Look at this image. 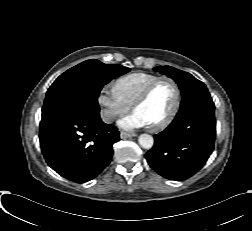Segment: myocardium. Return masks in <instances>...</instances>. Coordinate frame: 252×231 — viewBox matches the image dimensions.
<instances>
[{
    "label": "myocardium",
    "mask_w": 252,
    "mask_h": 231,
    "mask_svg": "<svg viewBox=\"0 0 252 231\" xmlns=\"http://www.w3.org/2000/svg\"><path fill=\"white\" fill-rule=\"evenodd\" d=\"M161 81H169L173 85L175 90V100L171 111L162 121L153 126H148L149 130L152 132H157L166 128L176 117L182 101V92L178 82L174 78L169 76L158 77L157 79L152 81L132 103V110L134 111L136 107H138L148 99L154 87Z\"/></svg>",
    "instance_id": "myocardium-1"
}]
</instances>
